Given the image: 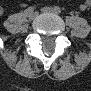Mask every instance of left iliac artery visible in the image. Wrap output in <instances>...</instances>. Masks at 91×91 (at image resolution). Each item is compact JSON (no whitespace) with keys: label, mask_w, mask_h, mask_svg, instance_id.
Returning a JSON list of instances; mask_svg holds the SVG:
<instances>
[{"label":"left iliac artery","mask_w":91,"mask_h":91,"mask_svg":"<svg viewBox=\"0 0 91 91\" xmlns=\"http://www.w3.org/2000/svg\"><path fill=\"white\" fill-rule=\"evenodd\" d=\"M54 11H55L56 13L60 14V13H61V8H60L59 6H55V7H54Z\"/></svg>","instance_id":"1"}]
</instances>
